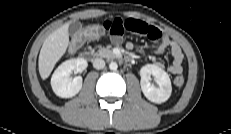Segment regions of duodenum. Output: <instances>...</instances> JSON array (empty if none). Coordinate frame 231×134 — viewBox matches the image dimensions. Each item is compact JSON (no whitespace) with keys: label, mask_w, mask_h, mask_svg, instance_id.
Returning a JSON list of instances; mask_svg holds the SVG:
<instances>
[{"label":"duodenum","mask_w":231,"mask_h":134,"mask_svg":"<svg viewBox=\"0 0 231 134\" xmlns=\"http://www.w3.org/2000/svg\"><path fill=\"white\" fill-rule=\"evenodd\" d=\"M81 57L84 59H92V55L89 52H83L81 54ZM111 57L115 58V59L123 60L126 63H131V58L127 55H123V54H119V53H112Z\"/></svg>","instance_id":"obj_1"}]
</instances>
